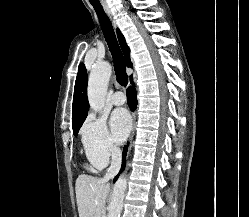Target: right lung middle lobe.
Returning a JSON list of instances; mask_svg holds the SVG:
<instances>
[{
  "mask_svg": "<svg viewBox=\"0 0 249 217\" xmlns=\"http://www.w3.org/2000/svg\"><path fill=\"white\" fill-rule=\"evenodd\" d=\"M82 123H83V121H82L81 123H78V124H77V125H75V126H72L74 136H77L78 131H79V129H80V127H81Z\"/></svg>",
  "mask_w": 249,
  "mask_h": 217,
  "instance_id": "1",
  "label": "right lung middle lobe"
}]
</instances>
